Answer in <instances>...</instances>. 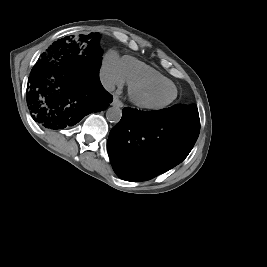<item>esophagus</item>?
<instances>
[{"mask_svg":"<svg viewBox=\"0 0 267 267\" xmlns=\"http://www.w3.org/2000/svg\"><path fill=\"white\" fill-rule=\"evenodd\" d=\"M112 106L120 107L122 108L124 104L118 99V97L114 96L113 102L111 103Z\"/></svg>","mask_w":267,"mask_h":267,"instance_id":"obj_1","label":"esophagus"}]
</instances>
